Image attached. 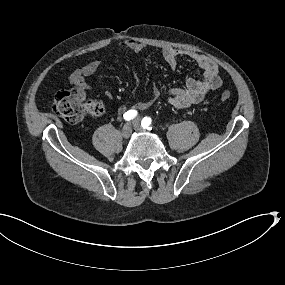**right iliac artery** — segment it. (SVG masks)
<instances>
[{
    "mask_svg": "<svg viewBox=\"0 0 285 285\" xmlns=\"http://www.w3.org/2000/svg\"><path fill=\"white\" fill-rule=\"evenodd\" d=\"M136 115H137V111L136 110H129L123 116H124L125 120L130 121L131 119L136 117Z\"/></svg>",
    "mask_w": 285,
    "mask_h": 285,
    "instance_id": "right-iliac-artery-1",
    "label": "right iliac artery"
}]
</instances>
